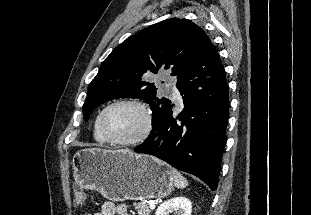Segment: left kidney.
<instances>
[{
	"label": "left kidney",
	"mask_w": 311,
	"mask_h": 215,
	"mask_svg": "<svg viewBox=\"0 0 311 215\" xmlns=\"http://www.w3.org/2000/svg\"><path fill=\"white\" fill-rule=\"evenodd\" d=\"M171 212L175 215H191L192 204L185 197H175L161 204L155 215H169Z\"/></svg>",
	"instance_id": "1"
}]
</instances>
